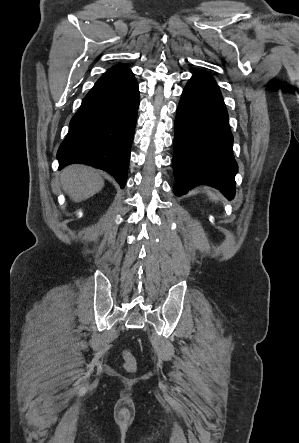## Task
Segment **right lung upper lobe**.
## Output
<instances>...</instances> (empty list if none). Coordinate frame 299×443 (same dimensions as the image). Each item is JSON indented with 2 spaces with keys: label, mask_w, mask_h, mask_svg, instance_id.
Instances as JSON below:
<instances>
[{
  "label": "right lung upper lobe",
  "mask_w": 299,
  "mask_h": 443,
  "mask_svg": "<svg viewBox=\"0 0 299 443\" xmlns=\"http://www.w3.org/2000/svg\"><path fill=\"white\" fill-rule=\"evenodd\" d=\"M122 67H126V65H123V64H121V65H117V66H114L112 69H115V68H122Z\"/></svg>",
  "instance_id": "1"
}]
</instances>
